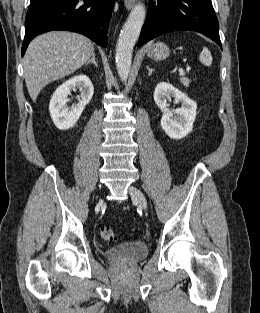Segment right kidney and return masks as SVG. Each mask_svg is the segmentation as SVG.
<instances>
[{"mask_svg":"<svg viewBox=\"0 0 260 313\" xmlns=\"http://www.w3.org/2000/svg\"><path fill=\"white\" fill-rule=\"evenodd\" d=\"M80 91V100L77 104L68 105L72 90ZM94 93L91 80L86 75H78L60 85L54 92L49 111L55 126L60 130L73 127L80 118L85 106L90 102Z\"/></svg>","mask_w":260,"mask_h":313,"instance_id":"ca27d5eb","label":"right kidney"}]
</instances>
